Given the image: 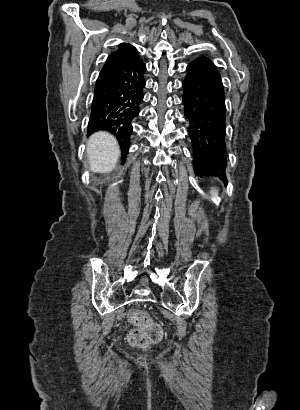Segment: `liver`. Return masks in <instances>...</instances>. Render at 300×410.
I'll list each match as a JSON object with an SVG mask.
<instances>
[{
	"instance_id": "6515ba94",
	"label": "liver",
	"mask_w": 300,
	"mask_h": 410,
	"mask_svg": "<svg viewBox=\"0 0 300 410\" xmlns=\"http://www.w3.org/2000/svg\"><path fill=\"white\" fill-rule=\"evenodd\" d=\"M86 153L91 171L109 173L118 163L120 148L114 136L99 131L89 138Z\"/></svg>"
}]
</instances>
